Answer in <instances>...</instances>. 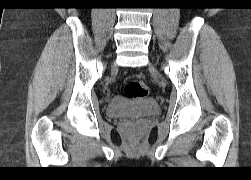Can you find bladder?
I'll return each instance as SVG.
<instances>
[{
  "label": "bladder",
  "mask_w": 251,
  "mask_h": 180,
  "mask_svg": "<svg viewBox=\"0 0 251 180\" xmlns=\"http://www.w3.org/2000/svg\"><path fill=\"white\" fill-rule=\"evenodd\" d=\"M159 110L160 106L153 98L131 100L123 96H115L108 103L106 113L114 118H138L155 115Z\"/></svg>",
  "instance_id": "31cf9c89"
}]
</instances>
